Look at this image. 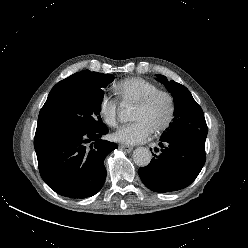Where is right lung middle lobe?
<instances>
[{
    "label": "right lung middle lobe",
    "instance_id": "obj_1",
    "mask_svg": "<svg viewBox=\"0 0 248 248\" xmlns=\"http://www.w3.org/2000/svg\"><path fill=\"white\" fill-rule=\"evenodd\" d=\"M82 72L76 85L45 102L37 127L98 130L106 126L100 117L103 90L114 77L89 70Z\"/></svg>",
    "mask_w": 248,
    "mask_h": 248
}]
</instances>
